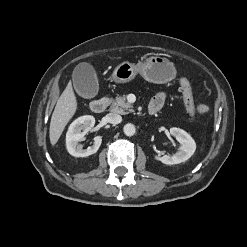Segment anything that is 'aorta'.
Returning <instances> with one entry per match:
<instances>
[{
  "mask_svg": "<svg viewBox=\"0 0 247 247\" xmlns=\"http://www.w3.org/2000/svg\"><path fill=\"white\" fill-rule=\"evenodd\" d=\"M123 132L126 136H133L136 132V128L133 124L127 123L124 125Z\"/></svg>",
  "mask_w": 247,
  "mask_h": 247,
  "instance_id": "aorta-1",
  "label": "aorta"
}]
</instances>
